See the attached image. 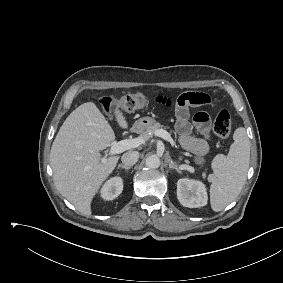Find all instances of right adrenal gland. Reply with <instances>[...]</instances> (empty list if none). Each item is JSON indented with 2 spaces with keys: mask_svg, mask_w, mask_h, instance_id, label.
<instances>
[{
  "mask_svg": "<svg viewBox=\"0 0 283 283\" xmlns=\"http://www.w3.org/2000/svg\"><path fill=\"white\" fill-rule=\"evenodd\" d=\"M119 168H122V169H125V170H130L132 167L131 166H126V165H123V164H119L118 165V169Z\"/></svg>",
  "mask_w": 283,
  "mask_h": 283,
  "instance_id": "right-adrenal-gland-1",
  "label": "right adrenal gland"
}]
</instances>
